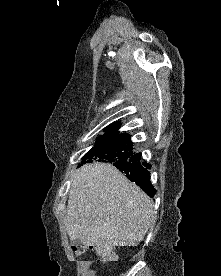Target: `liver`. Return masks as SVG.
<instances>
[{
  "instance_id": "1",
  "label": "liver",
  "mask_w": 221,
  "mask_h": 276,
  "mask_svg": "<svg viewBox=\"0 0 221 276\" xmlns=\"http://www.w3.org/2000/svg\"><path fill=\"white\" fill-rule=\"evenodd\" d=\"M153 215L152 200L111 164L85 165L71 178L65 225L72 241L99 250L136 246Z\"/></svg>"
}]
</instances>
